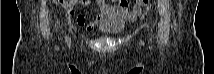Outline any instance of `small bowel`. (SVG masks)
Here are the masks:
<instances>
[{"mask_svg": "<svg viewBox=\"0 0 214 74\" xmlns=\"http://www.w3.org/2000/svg\"><path fill=\"white\" fill-rule=\"evenodd\" d=\"M79 2L80 1L68 2L70 15H74V12L71 10V8ZM95 4L98 7V12L94 16H92L91 18H86L84 15L79 14L76 17L77 25L87 32H90L98 23H100L104 15L113 14L120 18H134L141 13L140 5H135L131 8V10H128L127 3H120L119 6H109L104 1H95Z\"/></svg>", "mask_w": 214, "mask_h": 74, "instance_id": "small-bowel-1", "label": "small bowel"}]
</instances>
